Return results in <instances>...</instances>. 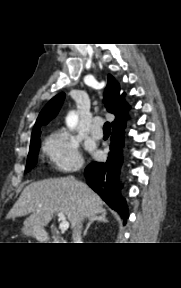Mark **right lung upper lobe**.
<instances>
[{
	"instance_id": "right-lung-upper-lobe-1",
	"label": "right lung upper lobe",
	"mask_w": 181,
	"mask_h": 288,
	"mask_svg": "<svg viewBox=\"0 0 181 288\" xmlns=\"http://www.w3.org/2000/svg\"><path fill=\"white\" fill-rule=\"evenodd\" d=\"M119 93V83L111 75H108V84L104 92V103L107 110L115 115V120L112 122V127L124 126L128 118L129 105L123 99L124 94L120 96ZM64 98L65 94L60 93L53 97L45 105L34 125L31 141H34L40 137L41 126L46 125L51 119L56 116L63 103Z\"/></svg>"
}]
</instances>
